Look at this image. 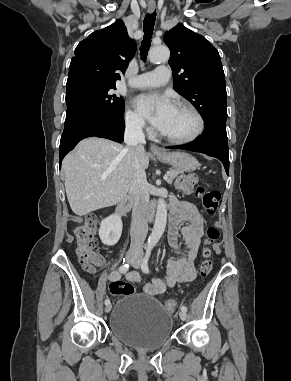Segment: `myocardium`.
Here are the masks:
<instances>
[{
  "instance_id": "myocardium-1",
  "label": "myocardium",
  "mask_w": 291,
  "mask_h": 381,
  "mask_svg": "<svg viewBox=\"0 0 291 381\" xmlns=\"http://www.w3.org/2000/svg\"><path fill=\"white\" fill-rule=\"evenodd\" d=\"M175 107H181V108L188 109L189 111H191L195 115V117L197 119L196 130L194 131L193 134H191L188 137H184V138L171 137V136H168V135L162 133L161 131L159 132V135L163 139H165L171 143H175V144H188V143L194 142L203 134L204 129H205V120H204L202 113L199 111V109L196 106H194L192 103L187 102V101H180V102L176 103Z\"/></svg>"
}]
</instances>
